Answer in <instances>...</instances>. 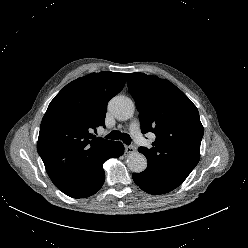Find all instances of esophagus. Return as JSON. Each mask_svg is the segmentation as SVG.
I'll use <instances>...</instances> for the list:
<instances>
[{"instance_id": "1", "label": "esophagus", "mask_w": 248, "mask_h": 248, "mask_svg": "<svg viewBox=\"0 0 248 248\" xmlns=\"http://www.w3.org/2000/svg\"><path fill=\"white\" fill-rule=\"evenodd\" d=\"M136 151V148L134 147V146H126L125 147V152L127 153V154H131V153H133V152H135Z\"/></svg>"}]
</instances>
